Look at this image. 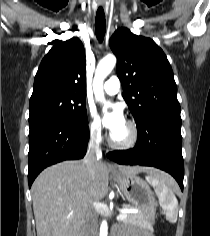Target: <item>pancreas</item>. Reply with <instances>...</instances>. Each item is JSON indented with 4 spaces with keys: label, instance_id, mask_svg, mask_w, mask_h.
I'll list each match as a JSON object with an SVG mask.
<instances>
[{
    "label": "pancreas",
    "instance_id": "pancreas-1",
    "mask_svg": "<svg viewBox=\"0 0 210 236\" xmlns=\"http://www.w3.org/2000/svg\"><path fill=\"white\" fill-rule=\"evenodd\" d=\"M123 208L132 209L133 207L129 204H123ZM123 223H129L133 225H137L139 227H143L149 230H153L151 223L146 219L143 213H127L125 219L122 220Z\"/></svg>",
    "mask_w": 210,
    "mask_h": 236
}]
</instances>
